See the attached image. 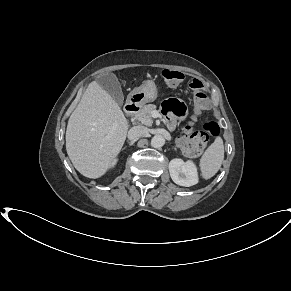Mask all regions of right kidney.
Here are the masks:
<instances>
[{
    "mask_svg": "<svg viewBox=\"0 0 291 291\" xmlns=\"http://www.w3.org/2000/svg\"><path fill=\"white\" fill-rule=\"evenodd\" d=\"M116 160L113 162L112 166L115 164Z\"/></svg>",
    "mask_w": 291,
    "mask_h": 291,
    "instance_id": "obj_1",
    "label": "right kidney"
}]
</instances>
